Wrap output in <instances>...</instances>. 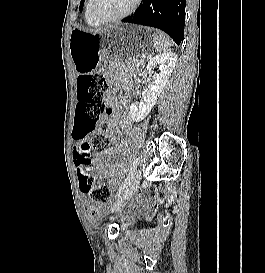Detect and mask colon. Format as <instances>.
I'll use <instances>...</instances> for the list:
<instances>
[{"instance_id": "1", "label": "colon", "mask_w": 265, "mask_h": 273, "mask_svg": "<svg viewBox=\"0 0 265 273\" xmlns=\"http://www.w3.org/2000/svg\"><path fill=\"white\" fill-rule=\"evenodd\" d=\"M108 90L106 80L99 75L80 74L77 78V112L74 116L72 139L88 142L80 146L81 159H92L96 154H103L109 145L107 136L100 132L105 126L102 117L109 109L104 103V94ZM79 188L88 195L91 205L109 201L111 190L105 183L98 181L95 170L90 164H81L77 169Z\"/></svg>"}]
</instances>
